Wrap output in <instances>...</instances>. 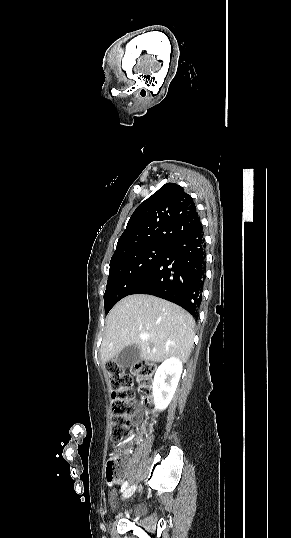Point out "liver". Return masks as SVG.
Returning a JSON list of instances; mask_svg holds the SVG:
<instances>
[{
	"label": "liver",
	"mask_w": 291,
	"mask_h": 538,
	"mask_svg": "<svg viewBox=\"0 0 291 538\" xmlns=\"http://www.w3.org/2000/svg\"><path fill=\"white\" fill-rule=\"evenodd\" d=\"M194 326L193 317L171 302L146 294L127 296L106 318L101 361L105 364L124 348L136 345L146 361L177 357L185 362L193 346ZM140 333L148 338H141Z\"/></svg>",
	"instance_id": "obj_1"
}]
</instances>
